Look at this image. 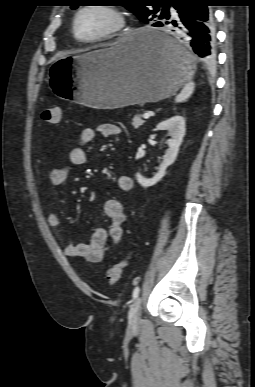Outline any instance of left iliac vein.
Here are the masks:
<instances>
[{
	"instance_id": "4c4485c4",
	"label": "left iliac vein",
	"mask_w": 255,
	"mask_h": 387,
	"mask_svg": "<svg viewBox=\"0 0 255 387\" xmlns=\"http://www.w3.org/2000/svg\"><path fill=\"white\" fill-rule=\"evenodd\" d=\"M142 314L141 298L138 297L133 302L129 312V327L136 329L140 325Z\"/></svg>"
}]
</instances>
